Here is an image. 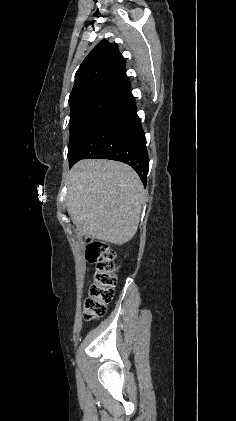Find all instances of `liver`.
Returning a JSON list of instances; mask_svg holds the SVG:
<instances>
[{
    "instance_id": "liver-1",
    "label": "liver",
    "mask_w": 236,
    "mask_h": 421,
    "mask_svg": "<svg viewBox=\"0 0 236 421\" xmlns=\"http://www.w3.org/2000/svg\"><path fill=\"white\" fill-rule=\"evenodd\" d=\"M67 178V211L86 239L124 245L134 237L145 190L131 166L84 158L72 166Z\"/></svg>"
}]
</instances>
